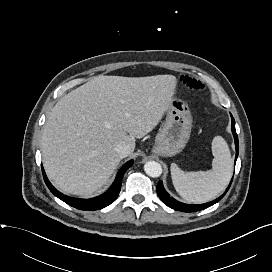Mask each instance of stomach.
Segmentation results:
<instances>
[{
    "instance_id": "0dacf381",
    "label": "stomach",
    "mask_w": 272,
    "mask_h": 272,
    "mask_svg": "<svg viewBox=\"0 0 272 272\" xmlns=\"http://www.w3.org/2000/svg\"><path fill=\"white\" fill-rule=\"evenodd\" d=\"M191 127L192 117L188 105L179 98H173L166 110L164 126L156 135L153 152L165 157L180 153L190 138Z\"/></svg>"
}]
</instances>
